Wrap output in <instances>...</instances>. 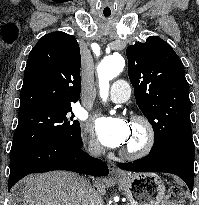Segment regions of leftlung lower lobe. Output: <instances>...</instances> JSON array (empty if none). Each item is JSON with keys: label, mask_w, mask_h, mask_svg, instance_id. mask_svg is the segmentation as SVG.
Returning <instances> with one entry per match:
<instances>
[{"label": "left lung lower lobe", "mask_w": 199, "mask_h": 205, "mask_svg": "<svg viewBox=\"0 0 199 205\" xmlns=\"http://www.w3.org/2000/svg\"><path fill=\"white\" fill-rule=\"evenodd\" d=\"M118 167L127 171H157L172 173L181 177L190 192L194 183V142L179 140L146 157L129 163H120Z\"/></svg>", "instance_id": "0a47b994"}]
</instances>
